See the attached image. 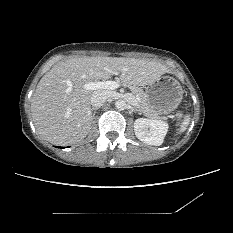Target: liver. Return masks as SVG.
<instances>
[{
	"label": "liver",
	"mask_w": 233,
	"mask_h": 233,
	"mask_svg": "<svg viewBox=\"0 0 233 233\" xmlns=\"http://www.w3.org/2000/svg\"><path fill=\"white\" fill-rule=\"evenodd\" d=\"M169 69L158 61L124 57H74L59 62L39 81L31 101L39 134L57 145L84 139L91 129V96L85 84L121 73L122 82L144 86Z\"/></svg>",
	"instance_id": "obj_1"
}]
</instances>
